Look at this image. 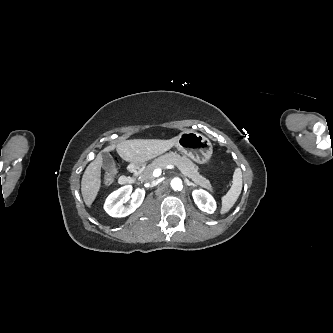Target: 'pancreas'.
<instances>
[{
	"mask_svg": "<svg viewBox=\"0 0 333 333\" xmlns=\"http://www.w3.org/2000/svg\"><path fill=\"white\" fill-rule=\"evenodd\" d=\"M167 165L176 166L185 176L192 179L196 185L213 191L210 181L198 172L197 166L189 158L180 156L176 152L164 154L152 161V163L140 173L141 182H151L154 179L152 175L153 171L157 168L163 169Z\"/></svg>",
	"mask_w": 333,
	"mask_h": 333,
	"instance_id": "cf45deb5",
	"label": "pancreas"
}]
</instances>
